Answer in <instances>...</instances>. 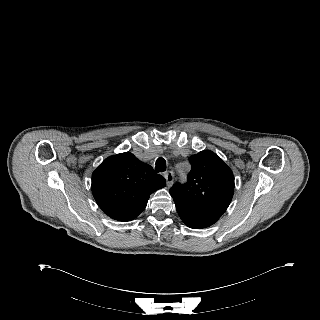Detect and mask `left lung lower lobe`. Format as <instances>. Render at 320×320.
<instances>
[{"label": "left lung lower lobe", "instance_id": "0a47b994", "mask_svg": "<svg viewBox=\"0 0 320 320\" xmlns=\"http://www.w3.org/2000/svg\"><path fill=\"white\" fill-rule=\"evenodd\" d=\"M176 210L182 221L190 228L202 229L211 226L221 217L219 214L209 213L182 202H175Z\"/></svg>", "mask_w": 320, "mask_h": 320}]
</instances>
